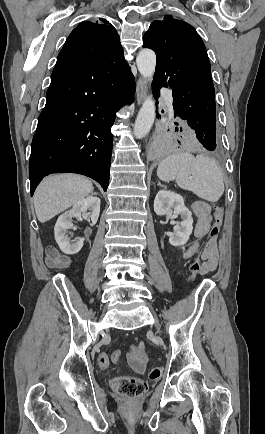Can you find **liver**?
<instances>
[{"label":"liver","mask_w":265,"mask_h":434,"mask_svg":"<svg viewBox=\"0 0 265 434\" xmlns=\"http://www.w3.org/2000/svg\"><path fill=\"white\" fill-rule=\"evenodd\" d=\"M93 190L92 182L77 174H58L44 178L33 198L39 222H48L88 194H92Z\"/></svg>","instance_id":"obj_1"}]
</instances>
